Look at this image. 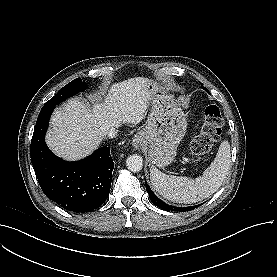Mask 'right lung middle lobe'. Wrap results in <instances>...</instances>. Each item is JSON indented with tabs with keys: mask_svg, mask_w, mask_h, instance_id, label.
<instances>
[{
	"mask_svg": "<svg viewBox=\"0 0 277 277\" xmlns=\"http://www.w3.org/2000/svg\"><path fill=\"white\" fill-rule=\"evenodd\" d=\"M85 88L86 84L82 82L81 78H77L65 85L54 97H52L43 106V108L55 106Z\"/></svg>",
	"mask_w": 277,
	"mask_h": 277,
	"instance_id": "right-lung-middle-lobe-1",
	"label": "right lung middle lobe"
}]
</instances>
